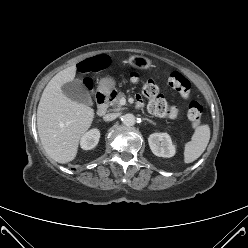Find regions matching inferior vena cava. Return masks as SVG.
Listing matches in <instances>:
<instances>
[{
  "mask_svg": "<svg viewBox=\"0 0 248 248\" xmlns=\"http://www.w3.org/2000/svg\"><path fill=\"white\" fill-rule=\"evenodd\" d=\"M117 117H118L117 113H109V114L104 115L103 119L105 121H112V120L116 119Z\"/></svg>",
  "mask_w": 248,
  "mask_h": 248,
  "instance_id": "inferior-vena-cava-1",
  "label": "inferior vena cava"
}]
</instances>
